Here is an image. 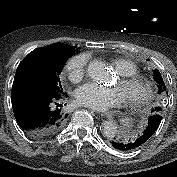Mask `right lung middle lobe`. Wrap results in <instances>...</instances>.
Wrapping results in <instances>:
<instances>
[{
	"instance_id": "right-lung-middle-lobe-1",
	"label": "right lung middle lobe",
	"mask_w": 177,
	"mask_h": 177,
	"mask_svg": "<svg viewBox=\"0 0 177 177\" xmlns=\"http://www.w3.org/2000/svg\"><path fill=\"white\" fill-rule=\"evenodd\" d=\"M66 61L67 59L48 68L25 66L16 71L12 88L62 95L64 93L59 76Z\"/></svg>"
}]
</instances>
